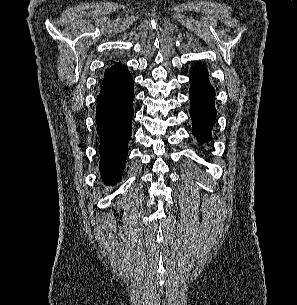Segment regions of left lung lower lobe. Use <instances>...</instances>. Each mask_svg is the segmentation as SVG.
<instances>
[{
	"label": "left lung lower lobe",
	"instance_id": "left-lung-lower-lobe-1",
	"mask_svg": "<svg viewBox=\"0 0 297 305\" xmlns=\"http://www.w3.org/2000/svg\"><path fill=\"white\" fill-rule=\"evenodd\" d=\"M207 69L197 63L190 69V115L192 132L200 143L211 139L216 119L215 91L208 79Z\"/></svg>",
	"mask_w": 297,
	"mask_h": 305
}]
</instances>
